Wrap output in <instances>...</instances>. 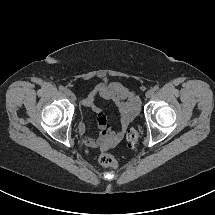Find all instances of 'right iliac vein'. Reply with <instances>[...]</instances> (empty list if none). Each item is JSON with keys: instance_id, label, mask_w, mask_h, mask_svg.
Instances as JSON below:
<instances>
[{"instance_id": "63e3f726", "label": "right iliac vein", "mask_w": 215, "mask_h": 215, "mask_svg": "<svg viewBox=\"0 0 215 215\" xmlns=\"http://www.w3.org/2000/svg\"><path fill=\"white\" fill-rule=\"evenodd\" d=\"M64 93H65L67 96H71V95H72V92H71L69 89H65V90H64Z\"/></svg>"}]
</instances>
